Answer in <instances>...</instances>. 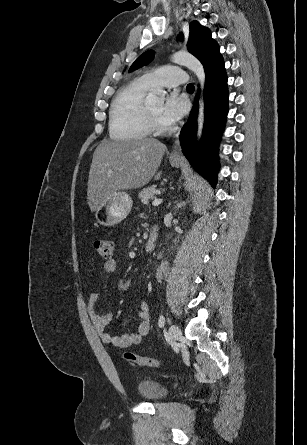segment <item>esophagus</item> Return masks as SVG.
<instances>
[{"instance_id": "esophagus-1", "label": "esophagus", "mask_w": 307, "mask_h": 445, "mask_svg": "<svg viewBox=\"0 0 307 445\" xmlns=\"http://www.w3.org/2000/svg\"><path fill=\"white\" fill-rule=\"evenodd\" d=\"M170 158H183L182 157V152H181V146H180V142H179V134L176 135L174 143L172 145V149H171V153H170Z\"/></svg>"}]
</instances>
